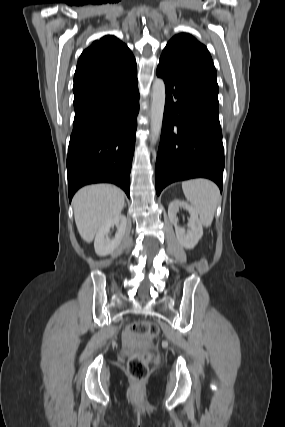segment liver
Segmentation results:
<instances>
[{
    "label": "liver",
    "mask_w": 285,
    "mask_h": 427,
    "mask_svg": "<svg viewBox=\"0 0 285 427\" xmlns=\"http://www.w3.org/2000/svg\"><path fill=\"white\" fill-rule=\"evenodd\" d=\"M124 194L107 184L90 185L80 189L73 198L74 217L81 238L90 243L98 229L121 214Z\"/></svg>",
    "instance_id": "obj_1"
}]
</instances>
